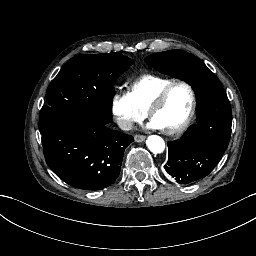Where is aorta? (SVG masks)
<instances>
[{
    "label": "aorta",
    "mask_w": 256,
    "mask_h": 256,
    "mask_svg": "<svg viewBox=\"0 0 256 256\" xmlns=\"http://www.w3.org/2000/svg\"><path fill=\"white\" fill-rule=\"evenodd\" d=\"M146 145L153 154H162L166 148L163 138L157 135L149 136Z\"/></svg>",
    "instance_id": "762f6f07"
}]
</instances>
